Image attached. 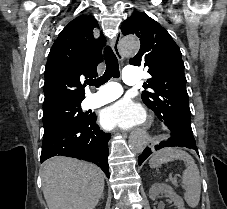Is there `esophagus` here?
Listing matches in <instances>:
<instances>
[{
  "label": "esophagus",
  "mask_w": 227,
  "mask_h": 209,
  "mask_svg": "<svg viewBox=\"0 0 227 209\" xmlns=\"http://www.w3.org/2000/svg\"><path fill=\"white\" fill-rule=\"evenodd\" d=\"M121 36H122V33L119 30L117 32L115 38L113 39V42H112V48L114 50V53H115L116 57L120 61L123 60V55H122V53L120 52V49H119V44H120ZM149 127H150V124H149ZM146 145L148 146L149 149H154L155 148V139L154 138H149L148 141L146 142Z\"/></svg>",
  "instance_id": "esophagus-1"
}]
</instances>
